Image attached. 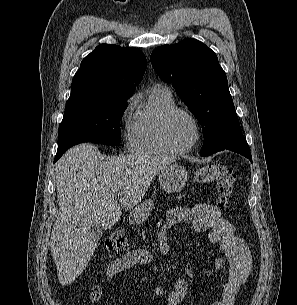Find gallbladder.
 <instances>
[{
    "mask_svg": "<svg viewBox=\"0 0 297 305\" xmlns=\"http://www.w3.org/2000/svg\"><path fill=\"white\" fill-rule=\"evenodd\" d=\"M103 233L104 230L100 224H92L88 236L90 239L97 241L102 237Z\"/></svg>",
    "mask_w": 297,
    "mask_h": 305,
    "instance_id": "gallbladder-1",
    "label": "gallbladder"
}]
</instances>
